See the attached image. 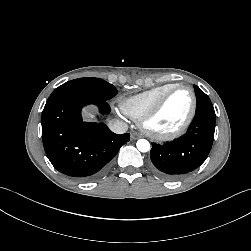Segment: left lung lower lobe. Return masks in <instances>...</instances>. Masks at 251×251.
Wrapping results in <instances>:
<instances>
[{"label":"left lung lower lobe","instance_id":"0a47b994","mask_svg":"<svg viewBox=\"0 0 251 251\" xmlns=\"http://www.w3.org/2000/svg\"><path fill=\"white\" fill-rule=\"evenodd\" d=\"M215 122V114L197 113L183 137L165 144L153 143L150 152L153 171L174 180L198 168L211 150Z\"/></svg>","mask_w":251,"mask_h":251}]
</instances>
